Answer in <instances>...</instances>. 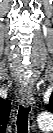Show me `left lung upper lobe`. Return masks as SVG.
Here are the masks:
<instances>
[{
	"label": "left lung upper lobe",
	"mask_w": 53,
	"mask_h": 133,
	"mask_svg": "<svg viewBox=\"0 0 53 133\" xmlns=\"http://www.w3.org/2000/svg\"><path fill=\"white\" fill-rule=\"evenodd\" d=\"M52 106H53V101L51 100L50 103H49L48 105L45 106V108H46L47 110L53 112V108H52Z\"/></svg>",
	"instance_id": "1"
}]
</instances>
